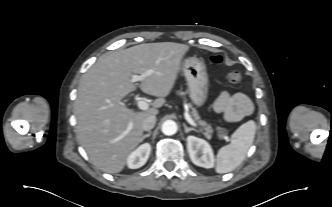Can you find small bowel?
Here are the masks:
<instances>
[{
	"label": "small bowel",
	"mask_w": 332,
	"mask_h": 207,
	"mask_svg": "<svg viewBox=\"0 0 332 207\" xmlns=\"http://www.w3.org/2000/svg\"><path fill=\"white\" fill-rule=\"evenodd\" d=\"M214 109L223 115L228 122L239 121L252 113L253 105L250 99L242 94L222 92L217 98Z\"/></svg>",
	"instance_id": "obj_1"
}]
</instances>
